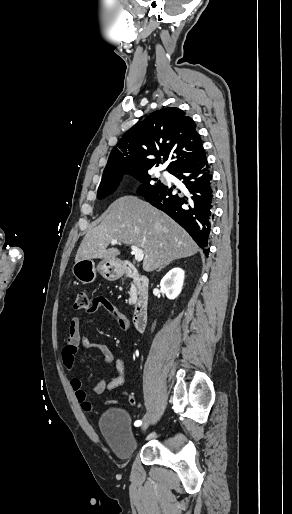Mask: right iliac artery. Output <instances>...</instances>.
Masks as SVG:
<instances>
[{
  "label": "right iliac artery",
  "instance_id": "82829eb1",
  "mask_svg": "<svg viewBox=\"0 0 292 514\" xmlns=\"http://www.w3.org/2000/svg\"><path fill=\"white\" fill-rule=\"evenodd\" d=\"M141 424H142V421H141V420H137V421L134 423V425H135V426H140Z\"/></svg>",
  "mask_w": 292,
  "mask_h": 514
}]
</instances>
